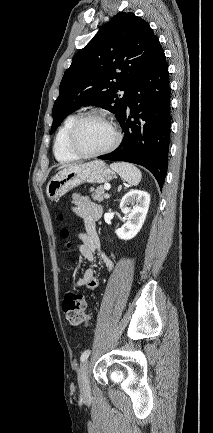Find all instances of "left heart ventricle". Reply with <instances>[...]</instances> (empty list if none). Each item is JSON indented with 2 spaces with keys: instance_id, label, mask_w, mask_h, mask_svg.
<instances>
[{
  "instance_id": "b2bd125f",
  "label": "left heart ventricle",
  "mask_w": 213,
  "mask_h": 433,
  "mask_svg": "<svg viewBox=\"0 0 213 433\" xmlns=\"http://www.w3.org/2000/svg\"><path fill=\"white\" fill-rule=\"evenodd\" d=\"M114 140L111 128L103 121L90 119L82 124L77 134L79 148L87 153L107 148Z\"/></svg>"
}]
</instances>
